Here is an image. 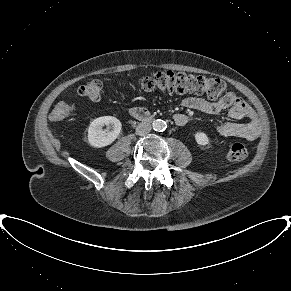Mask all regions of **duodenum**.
<instances>
[{"label":"duodenum","instance_id":"obj_1","mask_svg":"<svg viewBox=\"0 0 291 291\" xmlns=\"http://www.w3.org/2000/svg\"><path fill=\"white\" fill-rule=\"evenodd\" d=\"M130 114L132 117L140 121H151L153 119L151 113L148 110L141 107L132 108L130 110Z\"/></svg>","mask_w":291,"mask_h":291}]
</instances>
